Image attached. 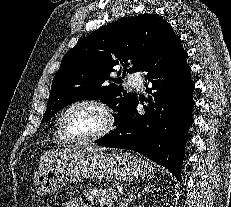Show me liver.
<instances>
[{
  "mask_svg": "<svg viewBox=\"0 0 231 207\" xmlns=\"http://www.w3.org/2000/svg\"><path fill=\"white\" fill-rule=\"evenodd\" d=\"M104 150H107V148L99 147L95 145H86L83 147L66 148L61 151H58V150L49 151L41 157L39 167L42 169L44 166H48L49 164L54 162L56 158L63 156L64 154H67V153H72V152H77V151L98 152V151H104Z\"/></svg>",
  "mask_w": 231,
  "mask_h": 207,
  "instance_id": "1",
  "label": "liver"
}]
</instances>
